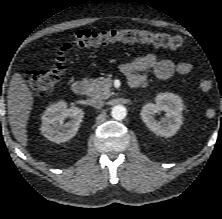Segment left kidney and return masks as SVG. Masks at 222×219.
I'll return each mask as SVG.
<instances>
[{
	"label": "left kidney",
	"instance_id": "left-kidney-1",
	"mask_svg": "<svg viewBox=\"0 0 222 219\" xmlns=\"http://www.w3.org/2000/svg\"><path fill=\"white\" fill-rule=\"evenodd\" d=\"M154 103H148L142 107L141 118L146 126L155 134L163 137H171L176 134L182 125V99L173 93H160ZM164 111L166 116L158 121L154 115Z\"/></svg>",
	"mask_w": 222,
	"mask_h": 219
}]
</instances>
